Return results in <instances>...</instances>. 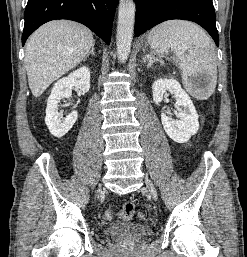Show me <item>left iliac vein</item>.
Here are the masks:
<instances>
[{"mask_svg": "<svg viewBox=\"0 0 247 257\" xmlns=\"http://www.w3.org/2000/svg\"><path fill=\"white\" fill-rule=\"evenodd\" d=\"M145 184H146V188L148 189L150 195L156 201L158 199V196H157V191H156L153 183L149 179H146Z\"/></svg>", "mask_w": 247, "mask_h": 257, "instance_id": "left-iliac-vein-1", "label": "left iliac vein"}]
</instances>
